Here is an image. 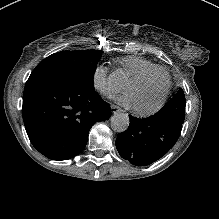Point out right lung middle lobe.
<instances>
[{
  "instance_id": "1",
  "label": "right lung middle lobe",
  "mask_w": 219,
  "mask_h": 219,
  "mask_svg": "<svg viewBox=\"0 0 219 219\" xmlns=\"http://www.w3.org/2000/svg\"><path fill=\"white\" fill-rule=\"evenodd\" d=\"M100 53L101 51L97 50L55 53L40 62L30 76H36L55 68H67L85 81L92 82V72L96 69Z\"/></svg>"
}]
</instances>
